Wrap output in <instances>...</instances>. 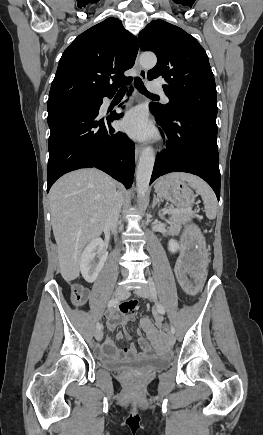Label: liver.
Here are the masks:
<instances>
[{
	"instance_id": "6515ba94",
	"label": "liver",
	"mask_w": 263,
	"mask_h": 435,
	"mask_svg": "<svg viewBox=\"0 0 263 435\" xmlns=\"http://www.w3.org/2000/svg\"><path fill=\"white\" fill-rule=\"evenodd\" d=\"M117 183L97 169H81L61 177L49 192L51 222L62 277L80 273L84 246L100 236L115 197Z\"/></svg>"
}]
</instances>
